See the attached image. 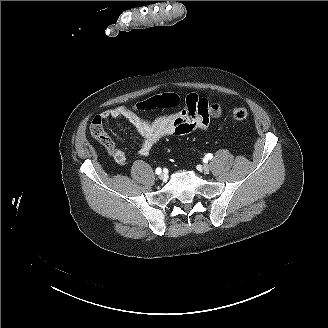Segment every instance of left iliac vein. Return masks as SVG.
I'll return each mask as SVG.
<instances>
[{"label": "left iliac vein", "instance_id": "obj_1", "mask_svg": "<svg viewBox=\"0 0 328 328\" xmlns=\"http://www.w3.org/2000/svg\"><path fill=\"white\" fill-rule=\"evenodd\" d=\"M202 170H203V172H205V173H209V172H210V167H209V165L204 164V165L202 166Z\"/></svg>", "mask_w": 328, "mask_h": 328}]
</instances>
